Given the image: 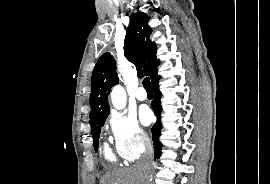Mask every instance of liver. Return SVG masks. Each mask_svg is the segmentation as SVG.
I'll return each mask as SVG.
<instances>
[{"label":"liver","instance_id":"1","mask_svg":"<svg viewBox=\"0 0 270 184\" xmlns=\"http://www.w3.org/2000/svg\"><path fill=\"white\" fill-rule=\"evenodd\" d=\"M145 171L139 168L117 169L105 174L100 184H143Z\"/></svg>","mask_w":270,"mask_h":184}]
</instances>
